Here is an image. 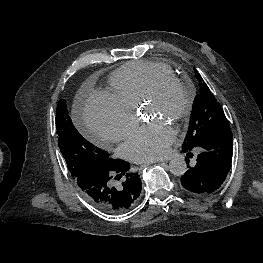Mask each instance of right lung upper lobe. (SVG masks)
I'll return each mask as SVG.
<instances>
[{
    "label": "right lung upper lobe",
    "mask_w": 263,
    "mask_h": 263,
    "mask_svg": "<svg viewBox=\"0 0 263 263\" xmlns=\"http://www.w3.org/2000/svg\"><path fill=\"white\" fill-rule=\"evenodd\" d=\"M128 208H117V209H113L111 212L112 213H119V212H124L126 211Z\"/></svg>",
    "instance_id": "right-lung-upper-lobe-1"
}]
</instances>
